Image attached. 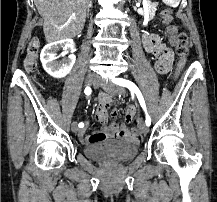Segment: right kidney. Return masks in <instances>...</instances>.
<instances>
[{
	"label": "right kidney",
	"mask_w": 217,
	"mask_h": 202,
	"mask_svg": "<svg viewBox=\"0 0 217 202\" xmlns=\"http://www.w3.org/2000/svg\"><path fill=\"white\" fill-rule=\"evenodd\" d=\"M62 44L65 50H71V52L68 58L57 62L58 56L56 52H58L59 46H62ZM74 50L75 44L73 40H60V42H52V44L44 46L40 54V60L45 72L53 76V78H64V76H67L75 64L76 56L73 54Z\"/></svg>",
	"instance_id": "obj_1"
}]
</instances>
